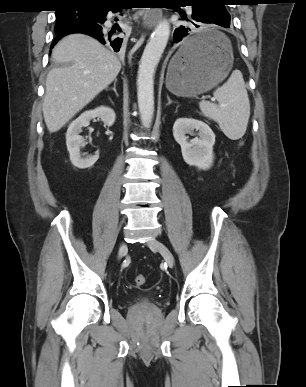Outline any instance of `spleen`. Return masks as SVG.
Segmentation results:
<instances>
[{
	"instance_id": "spleen-1",
	"label": "spleen",
	"mask_w": 306,
	"mask_h": 387,
	"mask_svg": "<svg viewBox=\"0 0 306 387\" xmlns=\"http://www.w3.org/2000/svg\"><path fill=\"white\" fill-rule=\"evenodd\" d=\"M219 105L201 101L199 107L204 116L216 121L223 133L231 140L241 138L250 117V102L242 73L234 70L229 79L213 93Z\"/></svg>"
}]
</instances>
